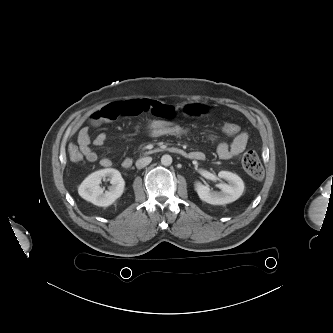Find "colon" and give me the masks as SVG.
<instances>
[{"mask_svg":"<svg viewBox=\"0 0 333 333\" xmlns=\"http://www.w3.org/2000/svg\"><path fill=\"white\" fill-rule=\"evenodd\" d=\"M142 133L152 138H184L194 135L196 129L178 121H152L148 122L142 128ZM218 133L228 137H236L240 133V127L233 122H224L219 126ZM211 137H216V134H212ZM69 156L70 159L75 162L83 158L78 147L75 145L69 147ZM242 166L252 178L261 179L263 177L264 169L255 150H248L244 153Z\"/></svg>","mask_w":333,"mask_h":333,"instance_id":"colon-1","label":"colon"}]
</instances>
